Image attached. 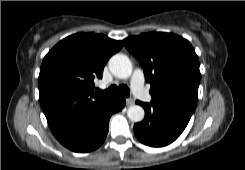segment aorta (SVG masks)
Returning <instances> with one entry per match:
<instances>
[{
	"mask_svg": "<svg viewBox=\"0 0 245 170\" xmlns=\"http://www.w3.org/2000/svg\"><path fill=\"white\" fill-rule=\"evenodd\" d=\"M109 69L111 73L121 79H127L132 74V63L130 59L123 54H115L109 60ZM128 118L133 122H140L144 119V109L139 105H132L127 110Z\"/></svg>",
	"mask_w": 245,
	"mask_h": 170,
	"instance_id": "obj_1",
	"label": "aorta"
}]
</instances>
